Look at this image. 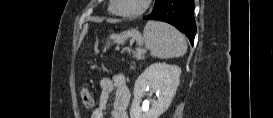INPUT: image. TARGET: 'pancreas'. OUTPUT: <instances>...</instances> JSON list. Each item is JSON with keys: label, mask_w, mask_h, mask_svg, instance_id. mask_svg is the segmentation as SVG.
Instances as JSON below:
<instances>
[{"label": "pancreas", "mask_w": 273, "mask_h": 118, "mask_svg": "<svg viewBox=\"0 0 273 118\" xmlns=\"http://www.w3.org/2000/svg\"><path fill=\"white\" fill-rule=\"evenodd\" d=\"M138 55H139V56L141 55V52H140V51H138ZM131 68H133V67H131Z\"/></svg>", "instance_id": "1"}]
</instances>
